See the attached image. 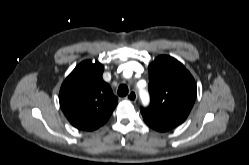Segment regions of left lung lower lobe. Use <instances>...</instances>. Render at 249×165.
Masks as SVG:
<instances>
[{
	"instance_id": "obj_1",
	"label": "left lung lower lobe",
	"mask_w": 249,
	"mask_h": 165,
	"mask_svg": "<svg viewBox=\"0 0 249 165\" xmlns=\"http://www.w3.org/2000/svg\"><path fill=\"white\" fill-rule=\"evenodd\" d=\"M145 123L151 127L152 129L156 130V131H159V132H166V131H169L171 130L172 128L174 127H170V126H167V125H163V124H156V123H152V122H149L147 120H144Z\"/></svg>"
}]
</instances>
